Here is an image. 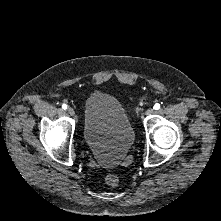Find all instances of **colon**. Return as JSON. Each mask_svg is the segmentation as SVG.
<instances>
[{"mask_svg":"<svg viewBox=\"0 0 221 221\" xmlns=\"http://www.w3.org/2000/svg\"><path fill=\"white\" fill-rule=\"evenodd\" d=\"M147 96H148V93H145L144 96L140 98L137 108H136V111L141 110V107L146 102ZM104 180L108 185H111V186H116L120 181L119 177L116 174H108L105 176Z\"/></svg>","mask_w":221,"mask_h":221,"instance_id":"obj_1","label":"colon"}]
</instances>
